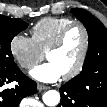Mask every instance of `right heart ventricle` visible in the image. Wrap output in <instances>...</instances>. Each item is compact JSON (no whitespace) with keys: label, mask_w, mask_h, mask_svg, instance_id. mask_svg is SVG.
Wrapping results in <instances>:
<instances>
[{"label":"right heart ventricle","mask_w":107,"mask_h":107,"mask_svg":"<svg viewBox=\"0 0 107 107\" xmlns=\"http://www.w3.org/2000/svg\"><path fill=\"white\" fill-rule=\"evenodd\" d=\"M72 22L70 17H45L32 27V39L43 53L47 52L62 29Z\"/></svg>","instance_id":"obj_1"}]
</instances>
